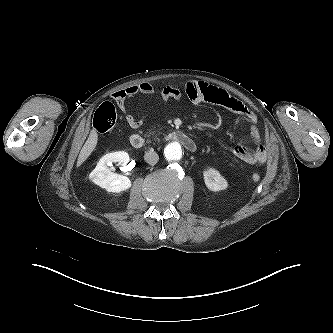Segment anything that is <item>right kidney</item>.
I'll return each instance as SVG.
<instances>
[{
	"label": "right kidney",
	"mask_w": 333,
	"mask_h": 333,
	"mask_svg": "<svg viewBox=\"0 0 333 333\" xmlns=\"http://www.w3.org/2000/svg\"><path fill=\"white\" fill-rule=\"evenodd\" d=\"M129 155L124 151H116L104 155L97 163L95 169L90 173L89 178L96 185L108 192L119 193L131 187L128 177L113 173L109 166L113 163L127 164Z\"/></svg>",
	"instance_id": "right-kidney-1"
}]
</instances>
